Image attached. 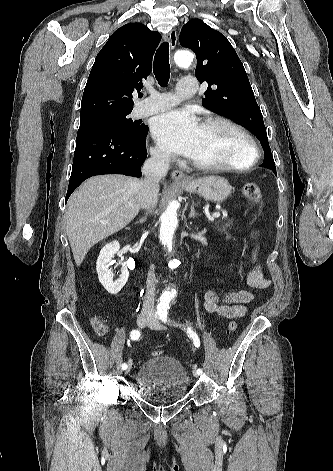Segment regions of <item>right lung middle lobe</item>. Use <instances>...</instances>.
Instances as JSON below:
<instances>
[{"instance_id": "dd1d6c3e", "label": "right lung middle lobe", "mask_w": 333, "mask_h": 471, "mask_svg": "<svg viewBox=\"0 0 333 471\" xmlns=\"http://www.w3.org/2000/svg\"><path fill=\"white\" fill-rule=\"evenodd\" d=\"M130 113L131 111L115 112L81 119L78 131L107 128L138 136L143 132L145 125H138L137 122H133L128 117Z\"/></svg>"}]
</instances>
